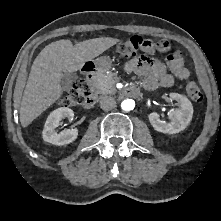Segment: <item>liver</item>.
<instances>
[{"instance_id": "1", "label": "liver", "mask_w": 221, "mask_h": 221, "mask_svg": "<svg viewBox=\"0 0 221 221\" xmlns=\"http://www.w3.org/2000/svg\"><path fill=\"white\" fill-rule=\"evenodd\" d=\"M119 40L100 37L75 45L68 39L47 45L36 57L22 96L19 118L22 127L54 104L62 95L63 72L80 70L85 62L94 59L115 45Z\"/></svg>"}]
</instances>
